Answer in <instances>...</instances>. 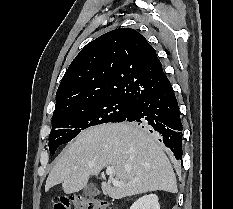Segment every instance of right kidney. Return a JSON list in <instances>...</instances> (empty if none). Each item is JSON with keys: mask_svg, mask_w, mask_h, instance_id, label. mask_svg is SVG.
Instances as JSON below:
<instances>
[{"mask_svg": "<svg viewBox=\"0 0 233 209\" xmlns=\"http://www.w3.org/2000/svg\"><path fill=\"white\" fill-rule=\"evenodd\" d=\"M130 209H160L158 196L155 194L142 196L133 203Z\"/></svg>", "mask_w": 233, "mask_h": 209, "instance_id": "ca27d5eb", "label": "right kidney"}]
</instances>
